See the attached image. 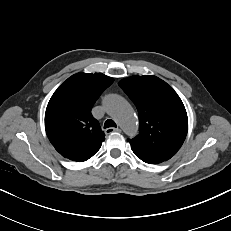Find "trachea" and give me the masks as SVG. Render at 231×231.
I'll use <instances>...</instances> for the list:
<instances>
[{"label":"trachea","mask_w":231,"mask_h":231,"mask_svg":"<svg viewBox=\"0 0 231 231\" xmlns=\"http://www.w3.org/2000/svg\"><path fill=\"white\" fill-rule=\"evenodd\" d=\"M110 127H117V126H116V123L113 120L108 119L104 123V128H110Z\"/></svg>","instance_id":"3493384b"}]
</instances>
